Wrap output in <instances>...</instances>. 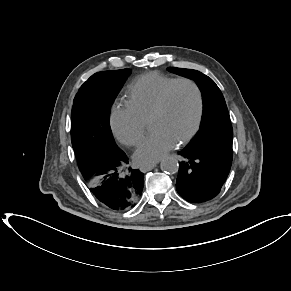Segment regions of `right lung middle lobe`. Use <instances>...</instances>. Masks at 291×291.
Instances as JSON below:
<instances>
[{
    "label": "right lung middle lobe",
    "mask_w": 291,
    "mask_h": 291,
    "mask_svg": "<svg viewBox=\"0 0 291 291\" xmlns=\"http://www.w3.org/2000/svg\"><path fill=\"white\" fill-rule=\"evenodd\" d=\"M129 74V69L95 73L77 92L71 113V140L79 169L123 153L112 136L109 116Z\"/></svg>",
    "instance_id": "dd1d6c3e"
}]
</instances>
